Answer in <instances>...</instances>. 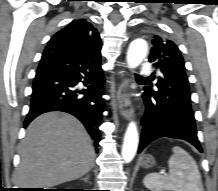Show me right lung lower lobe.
<instances>
[{
    "mask_svg": "<svg viewBox=\"0 0 218 191\" xmlns=\"http://www.w3.org/2000/svg\"><path fill=\"white\" fill-rule=\"evenodd\" d=\"M104 81L100 50L81 53L47 45L33 81L31 105L24 127L42 113L67 112L84 124L98 146V127L104 110L101 97ZM79 82L86 88L78 89Z\"/></svg>",
    "mask_w": 218,
    "mask_h": 191,
    "instance_id": "98d812e1",
    "label": "right lung lower lobe"
}]
</instances>
